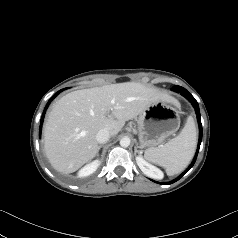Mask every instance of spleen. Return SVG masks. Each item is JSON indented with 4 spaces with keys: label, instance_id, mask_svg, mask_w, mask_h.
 Instances as JSON below:
<instances>
[{
    "label": "spleen",
    "instance_id": "1",
    "mask_svg": "<svg viewBox=\"0 0 238 238\" xmlns=\"http://www.w3.org/2000/svg\"><path fill=\"white\" fill-rule=\"evenodd\" d=\"M197 144V131L192 117L178 136L164 145L148 148L144 157L149 162L164 167L167 175L180 173L191 161Z\"/></svg>",
    "mask_w": 238,
    "mask_h": 238
}]
</instances>
